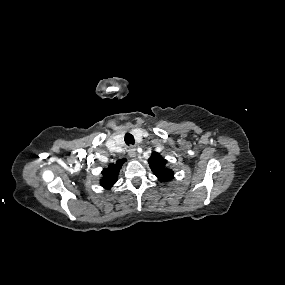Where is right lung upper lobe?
Here are the masks:
<instances>
[{
    "label": "right lung upper lobe",
    "mask_w": 285,
    "mask_h": 285,
    "mask_svg": "<svg viewBox=\"0 0 285 285\" xmlns=\"http://www.w3.org/2000/svg\"><path fill=\"white\" fill-rule=\"evenodd\" d=\"M125 161L126 159H119L115 164H111L103 169V177L100 180V184L103 188L110 189L116 183L118 172Z\"/></svg>",
    "instance_id": "obj_1"
}]
</instances>
